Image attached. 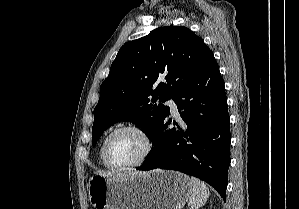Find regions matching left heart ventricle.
Masks as SVG:
<instances>
[{
	"label": "left heart ventricle",
	"mask_w": 299,
	"mask_h": 209,
	"mask_svg": "<svg viewBox=\"0 0 299 209\" xmlns=\"http://www.w3.org/2000/svg\"><path fill=\"white\" fill-rule=\"evenodd\" d=\"M144 141L135 132L125 131L118 134L112 141L109 158L117 166L127 165L136 161L144 151Z\"/></svg>",
	"instance_id": "left-heart-ventricle-1"
}]
</instances>
